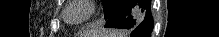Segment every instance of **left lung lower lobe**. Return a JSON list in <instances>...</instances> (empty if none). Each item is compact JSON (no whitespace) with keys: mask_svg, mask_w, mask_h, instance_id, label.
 <instances>
[{"mask_svg":"<svg viewBox=\"0 0 219 37\" xmlns=\"http://www.w3.org/2000/svg\"><path fill=\"white\" fill-rule=\"evenodd\" d=\"M150 0H119L105 27L130 29L132 37H151L153 18Z\"/></svg>","mask_w":219,"mask_h":37,"instance_id":"left-lung-lower-lobe-1","label":"left lung lower lobe"}]
</instances>
